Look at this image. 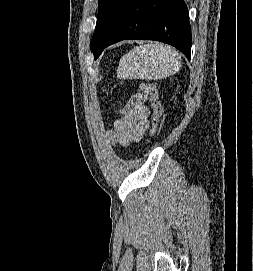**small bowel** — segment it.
Masks as SVG:
<instances>
[{"label": "small bowel", "instance_id": "small-bowel-1", "mask_svg": "<svg viewBox=\"0 0 253 271\" xmlns=\"http://www.w3.org/2000/svg\"><path fill=\"white\" fill-rule=\"evenodd\" d=\"M144 100L140 94L135 95L122 108L113 130L107 135L113 144L128 147L139 142L149 129V109L143 105Z\"/></svg>", "mask_w": 253, "mask_h": 271}]
</instances>
